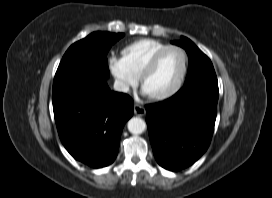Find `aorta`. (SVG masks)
<instances>
[{"label":"aorta","mask_w":272,"mask_h":198,"mask_svg":"<svg viewBox=\"0 0 272 198\" xmlns=\"http://www.w3.org/2000/svg\"><path fill=\"white\" fill-rule=\"evenodd\" d=\"M128 130L132 134H141L146 128V123L139 117L131 118L127 124Z\"/></svg>","instance_id":"762f6f07"}]
</instances>
